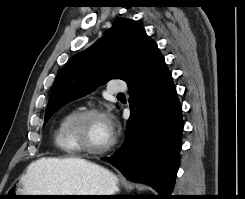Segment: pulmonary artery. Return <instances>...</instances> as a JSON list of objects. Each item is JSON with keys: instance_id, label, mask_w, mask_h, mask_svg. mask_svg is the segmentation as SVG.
Here are the masks:
<instances>
[{"instance_id": "pulmonary-artery-1", "label": "pulmonary artery", "mask_w": 245, "mask_h": 199, "mask_svg": "<svg viewBox=\"0 0 245 199\" xmlns=\"http://www.w3.org/2000/svg\"><path fill=\"white\" fill-rule=\"evenodd\" d=\"M127 90V85L122 81H113L108 86V91L111 94L122 93Z\"/></svg>"}]
</instances>
